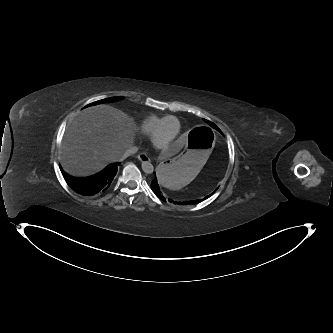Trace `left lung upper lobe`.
<instances>
[{
  "mask_svg": "<svg viewBox=\"0 0 333 333\" xmlns=\"http://www.w3.org/2000/svg\"><path fill=\"white\" fill-rule=\"evenodd\" d=\"M210 126H212L213 128H215V129H217L218 131H219V129L217 128V126L216 125H214L213 123H211V122H209V121H207V120H205Z\"/></svg>",
  "mask_w": 333,
  "mask_h": 333,
  "instance_id": "left-lung-upper-lobe-1",
  "label": "left lung upper lobe"
}]
</instances>
